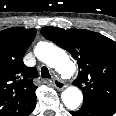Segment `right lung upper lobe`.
I'll list each match as a JSON object with an SVG mask.
<instances>
[{"label":"right lung upper lobe","mask_w":116,"mask_h":116,"mask_svg":"<svg viewBox=\"0 0 116 116\" xmlns=\"http://www.w3.org/2000/svg\"><path fill=\"white\" fill-rule=\"evenodd\" d=\"M35 35L23 27L0 31V116H28L35 108L38 72L22 60Z\"/></svg>","instance_id":"cb5924a9"}]
</instances>
